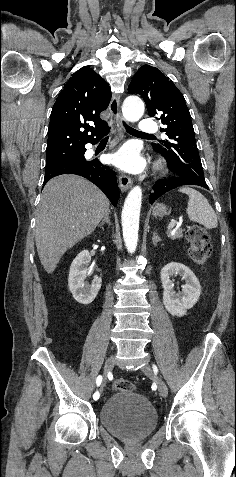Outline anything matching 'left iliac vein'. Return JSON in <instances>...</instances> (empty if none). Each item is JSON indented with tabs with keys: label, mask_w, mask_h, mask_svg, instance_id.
<instances>
[{
	"label": "left iliac vein",
	"mask_w": 236,
	"mask_h": 477,
	"mask_svg": "<svg viewBox=\"0 0 236 477\" xmlns=\"http://www.w3.org/2000/svg\"><path fill=\"white\" fill-rule=\"evenodd\" d=\"M142 372L146 376L153 378L156 381L159 394L164 398L167 397L168 389H167V386H166L165 382L160 377H158L154 374L151 366L148 365V364H145L142 367Z\"/></svg>",
	"instance_id": "obj_1"
}]
</instances>
